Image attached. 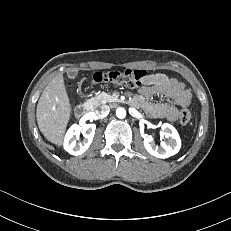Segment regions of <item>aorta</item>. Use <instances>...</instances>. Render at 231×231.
I'll list each match as a JSON object with an SVG mask.
<instances>
[{
    "mask_svg": "<svg viewBox=\"0 0 231 231\" xmlns=\"http://www.w3.org/2000/svg\"><path fill=\"white\" fill-rule=\"evenodd\" d=\"M116 116L120 119H123L126 117V110L124 108H117L116 110Z\"/></svg>",
    "mask_w": 231,
    "mask_h": 231,
    "instance_id": "aorta-1",
    "label": "aorta"
}]
</instances>
